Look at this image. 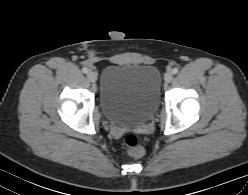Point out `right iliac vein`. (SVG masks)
Returning a JSON list of instances; mask_svg holds the SVG:
<instances>
[{"label":"right iliac vein","instance_id":"obj_1","mask_svg":"<svg viewBox=\"0 0 248 195\" xmlns=\"http://www.w3.org/2000/svg\"><path fill=\"white\" fill-rule=\"evenodd\" d=\"M87 77H88V79H89L90 82H96V80H97V73L94 72V71H89L87 73Z\"/></svg>","mask_w":248,"mask_h":195}]
</instances>
